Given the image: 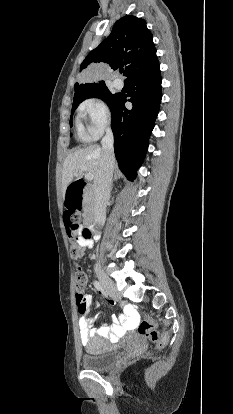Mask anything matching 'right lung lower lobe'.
<instances>
[{"label": "right lung lower lobe", "mask_w": 233, "mask_h": 414, "mask_svg": "<svg viewBox=\"0 0 233 414\" xmlns=\"http://www.w3.org/2000/svg\"><path fill=\"white\" fill-rule=\"evenodd\" d=\"M159 68L129 79L131 110L125 107L127 95L123 94H118L110 106L115 156L119 168L131 181L145 157L159 112L162 98Z\"/></svg>", "instance_id": "98d812e1"}]
</instances>
